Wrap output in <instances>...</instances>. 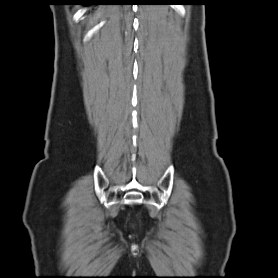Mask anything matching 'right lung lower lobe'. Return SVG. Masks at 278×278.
Listing matches in <instances>:
<instances>
[{
  "instance_id": "right-lung-lower-lobe-1",
  "label": "right lung lower lobe",
  "mask_w": 278,
  "mask_h": 278,
  "mask_svg": "<svg viewBox=\"0 0 278 278\" xmlns=\"http://www.w3.org/2000/svg\"><path fill=\"white\" fill-rule=\"evenodd\" d=\"M92 4H94V3H91V2L85 3V5H92Z\"/></svg>"
}]
</instances>
